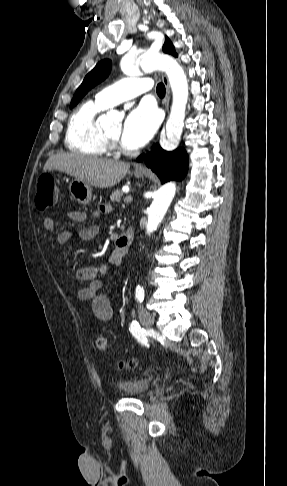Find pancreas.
Segmentation results:
<instances>
[{"instance_id": "cf45deb5", "label": "pancreas", "mask_w": 287, "mask_h": 486, "mask_svg": "<svg viewBox=\"0 0 287 486\" xmlns=\"http://www.w3.org/2000/svg\"><path fill=\"white\" fill-rule=\"evenodd\" d=\"M122 196H123L122 191L116 190V191L112 192V194L110 195V200L112 202H120Z\"/></svg>"}]
</instances>
